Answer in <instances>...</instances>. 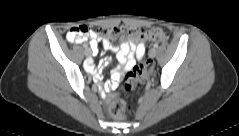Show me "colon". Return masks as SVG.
<instances>
[{"label": "colon", "instance_id": "5ec220e1", "mask_svg": "<svg viewBox=\"0 0 239 136\" xmlns=\"http://www.w3.org/2000/svg\"><path fill=\"white\" fill-rule=\"evenodd\" d=\"M91 29L86 25H79L73 27L68 37L71 40L84 39L91 33ZM99 37L107 39L111 44L116 45L122 38H129L133 41H160L167 39V34L160 28H151L143 30L139 28L129 27L125 25L113 26L108 28H99L95 32ZM153 63L148 58H141V60L125 75L124 89L126 91H133L141 86L147 79L148 73L152 70ZM129 110L123 99L114 98L109 106L111 116L116 120L124 118L126 112Z\"/></svg>", "mask_w": 239, "mask_h": 136}]
</instances>
